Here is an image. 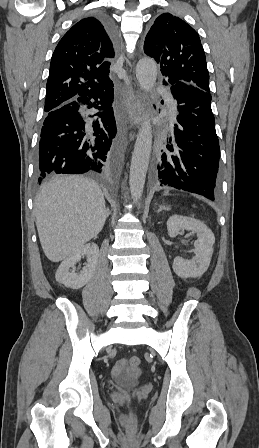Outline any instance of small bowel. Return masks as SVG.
Instances as JSON below:
<instances>
[{"instance_id": "small-bowel-1", "label": "small bowel", "mask_w": 259, "mask_h": 448, "mask_svg": "<svg viewBox=\"0 0 259 448\" xmlns=\"http://www.w3.org/2000/svg\"><path fill=\"white\" fill-rule=\"evenodd\" d=\"M113 374L117 377H135L139 374L138 369L129 370L127 368V360L121 359L117 361L112 370Z\"/></svg>"}]
</instances>
